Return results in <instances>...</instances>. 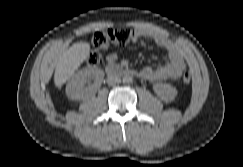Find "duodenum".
Returning <instances> with one entry per match:
<instances>
[{
    "mask_svg": "<svg viewBox=\"0 0 243 167\" xmlns=\"http://www.w3.org/2000/svg\"><path fill=\"white\" fill-rule=\"evenodd\" d=\"M105 72L109 76H141V73L133 68L122 67L114 64H108L105 68Z\"/></svg>",
    "mask_w": 243,
    "mask_h": 167,
    "instance_id": "obj_1",
    "label": "duodenum"
}]
</instances>
